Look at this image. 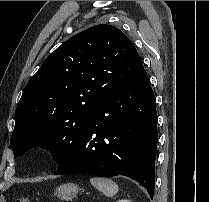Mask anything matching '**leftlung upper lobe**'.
Returning <instances> with one entry per match:
<instances>
[{"instance_id": "5c2ea615", "label": "left lung upper lobe", "mask_w": 209, "mask_h": 202, "mask_svg": "<svg viewBox=\"0 0 209 202\" xmlns=\"http://www.w3.org/2000/svg\"><path fill=\"white\" fill-rule=\"evenodd\" d=\"M143 70L133 43L114 26L96 25L68 39L23 91L10 140L14 157L40 146L62 167L89 113Z\"/></svg>"}]
</instances>
